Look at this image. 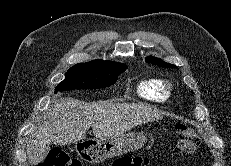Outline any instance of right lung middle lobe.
I'll use <instances>...</instances> for the list:
<instances>
[{
    "label": "right lung middle lobe",
    "instance_id": "dd1d6c3e",
    "mask_svg": "<svg viewBox=\"0 0 231 166\" xmlns=\"http://www.w3.org/2000/svg\"><path fill=\"white\" fill-rule=\"evenodd\" d=\"M127 69L123 63L93 60L70 68L55 93L73 89H100L113 85L118 76Z\"/></svg>",
    "mask_w": 231,
    "mask_h": 166
}]
</instances>
